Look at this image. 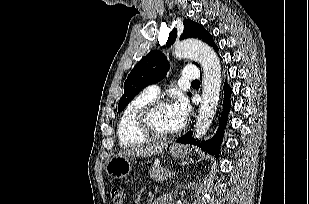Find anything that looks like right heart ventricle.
<instances>
[{
	"label": "right heart ventricle",
	"mask_w": 309,
	"mask_h": 204,
	"mask_svg": "<svg viewBox=\"0 0 309 204\" xmlns=\"http://www.w3.org/2000/svg\"><path fill=\"white\" fill-rule=\"evenodd\" d=\"M153 99L154 96L144 91L127 104L118 123V138L122 147L136 146L147 141L136 127V116L143 105Z\"/></svg>",
	"instance_id": "e07e8e85"
}]
</instances>
